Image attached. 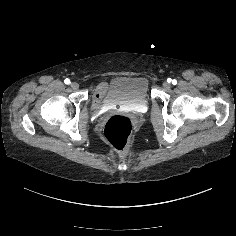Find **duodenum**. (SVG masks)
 <instances>
[{
    "instance_id": "1",
    "label": "duodenum",
    "mask_w": 236,
    "mask_h": 236,
    "mask_svg": "<svg viewBox=\"0 0 236 236\" xmlns=\"http://www.w3.org/2000/svg\"><path fill=\"white\" fill-rule=\"evenodd\" d=\"M102 91L100 89H96L93 93V105L94 107H98L101 101Z\"/></svg>"
}]
</instances>
